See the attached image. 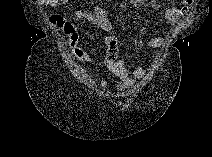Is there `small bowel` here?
Returning a JSON list of instances; mask_svg holds the SVG:
<instances>
[{"label":"small bowel","instance_id":"obj_1","mask_svg":"<svg viewBox=\"0 0 212 157\" xmlns=\"http://www.w3.org/2000/svg\"><path fill=\"white\" fill-rule=\"evenodd\" d=\"M67 0H42V7L60 8L65 7ZM139 4L138 1H134ZM190 5L186 4L183 7L170 8L165 13V18L172 24L179 25L188 16ZM73 16L77 19H85L104 30L108 35L105 37L102 47L105 50L104 64L108 72L119 78L118 88L120 90L132 87L137 80L143 79L147 75V70L143 67H135L129 70L123 60L119 58V41L112 34L113 25L108 14L100 7H94L91 10H77L73 12ZM49 23L52 27L59 28L68 36L69 47L73 55L86 62H93L84 50L78 47L80 34L75 25L61 14H52L49 17ZM164 39L156 37L148 40L145 43L146 48L155 49L162 46ZM108 83L102 80L97 83L99 89H105Z\"/></svg>","mask_w":212,"mask_h":157}]
</instances>
